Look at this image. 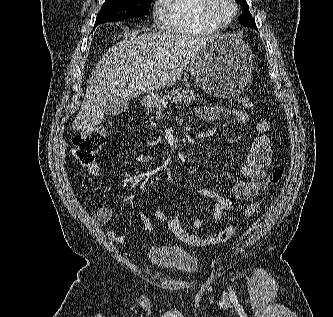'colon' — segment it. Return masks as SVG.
<instances>
[{
    "label": "colon",
    "instance_id": "colon-1",
    "mask_svg": "<svg viewBox=\"0 0 333 317\" xmlns=\"http://www.w3.org/2000/svg\"><path fill=\"white\" fill-rule=\"evenodd\" d=\"M239 103L246 109L253 108V101L249 97L239 98ZM105 144V133L100 129L90 130L77 135L72 140V153L75 158L83 165L90 166L95 162L97 153L102 149ZM283 170L276 168L271 175L274 183L282 179ZM259 209V203H251L245 210L244 220L252 217ZM168 228L183 242L189 245H210L219 244L228 241L238 231L239 225H230L214 236L207 238L200 237L186 231L179 219L171 214H167L165 221Z\"/></svg>",
    "mask_w": 333,
    "mask_h": 317
}]
</instances>
